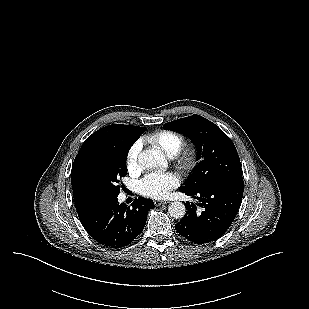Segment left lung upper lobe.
<instances>
[{"instance_id": "left-lung-upper-lobe-1", "label": "left lung upper lobe", "mask_w": 309, "mask_h": 309, "mask_svg": "<svg viewBox=\"0 0 309 309\" xmlns=\"http://www.w3.org/2000/svg\"><path fill=\"white\" fill-rule=\"evenodd\" d=\"M189 137L197 148L199 164L179 188L193 192L229 180H242L240 159L232 140L214 123L200 115L163 125Z\"/></svg>"}]
</instances>
